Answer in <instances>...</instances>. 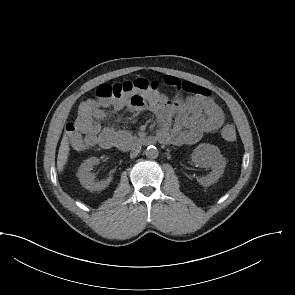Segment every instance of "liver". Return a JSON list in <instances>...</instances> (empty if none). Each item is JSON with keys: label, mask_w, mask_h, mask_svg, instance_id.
I'll list each match as a JSON object with an SVG mask.
<instances>
[{"label": "liver", "mask_w": 295, "mask_h": 295, "mask_svg": "<svg viewBox=\"0 0 295 295\" xmlns=\"http://www.w3.org/2000/svg\"><path fill=\"white\" fill-rule=\"evenodd\" d=\"M69 143L67 140V137L64 136L60 147H59V153L57 157V169L59 172H62L64 169L65 164L67 163L68 160V155H69Z\"/></svg>", "instance_id": "obj_1"}]
</instances>
